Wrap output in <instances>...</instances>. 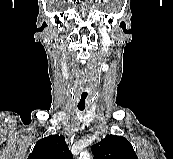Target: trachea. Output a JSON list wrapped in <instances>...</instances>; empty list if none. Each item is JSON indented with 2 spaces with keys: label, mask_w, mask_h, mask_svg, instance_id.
<instances>
[{
  "label": "trachea",
  "mask_w": 173,
  "mask_h": 159,
  "mask_svg": "<svg viewBox=\"0 0 173 159\" xmlns=\"http://www.w3.org/2000/svg\"><path fill=\"white\" fill-rule=\"evenodd\" d=\"M79 110H80V111H83L84 109H81V108H80Z\"/></svg>",
  "instance_id": "3493384b"
}]
</instances>
